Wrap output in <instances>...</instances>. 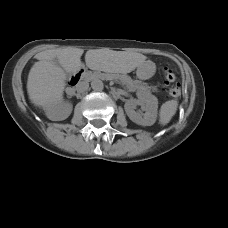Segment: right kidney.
Masks as SVG:
<instances>
[{
    "label": "right kidney",
    "mask_w": 228,
    "mask_h": 228,
    "mask_svg": "<svg viewBox=\"0 0 228 228\" xmlns=\"http://www.w3.org/2000/svg\"><path fill=\"white\" fill-rule=\"evenodd\" d=\"M71 111V106L69 104L67 105H61L57 107L56 109H53L47 113L48 117L53 121H59L66 119Z\"/></svg>",
    "instance_id": "obj_1"
}]
</instances>
